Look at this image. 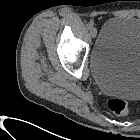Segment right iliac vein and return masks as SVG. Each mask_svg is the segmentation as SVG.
<instances>
[{
  "mask_svg": "<svg viewBox=\"0 0 140 140\" xmlns=\"http://www.w3.org/2000/svg\"><path fill=\"white\" fill-rule=\"evenodd\" d=\"M90 33H91V36H92L93 38L96 37L97 29H96V28H92L91 31H90Z\"/></svg>",
  "mask_w": 140,
  "mask_h": 140,
  "instance_id": "obj_1",
  "label": "right iliac vein"
}]
</instances>
